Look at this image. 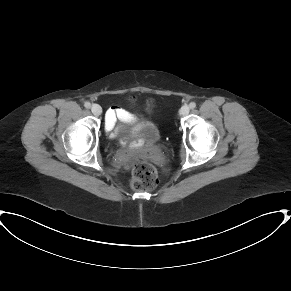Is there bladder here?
Wrapping results in <instances>:
<instances>
[{"label":"bladder","mask_w":291,"mask_h":291,"mask_svg":"<svg viewBox=\"0 0 291 291\" xmlns=\"http://www.w3.org/2000/svg\"><path fill=\"white\" fill-rule=\"evenodd\" d=\"M112 132L119 140L132 141L142 135H154L155 124L146 116L133 114L112 128Z\"/></svg>","instance_id":"31cf9c89"}]
</instances>
